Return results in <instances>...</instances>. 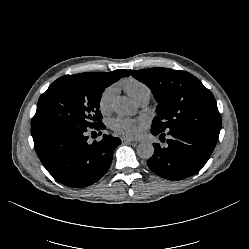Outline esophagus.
<instances>
[{
	"label": "esophagus",
	"instance_id": "34e87169",
	"mask_svg": "<svg viewBox=\"0 0 249 249\" xmlns=\"http://www.w3.org/2000/svg\"><path fill=\"white\" fill-rule=\"evenodd\" d=\"M131 142H133V140L130 138L127 137L122 138V143H131Z\"/></svg>",
	"mask_w": 249,
	"mask_h": 249
}]
</instances>
